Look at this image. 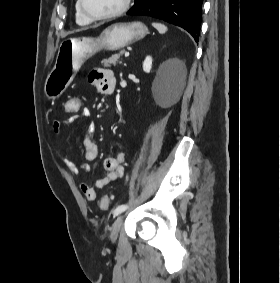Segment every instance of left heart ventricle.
Instances as JSON below:
<instances>
[{"label": "left heart ventricle", "instance_id": "left-heart-ventricle-1", "mask_svg": "<svg viewBox=\"0 0 280 283\" xmlns=\"http://www.w3.org/2000/svg\"><path fill=\"white\" fill-rule=\"evenodd\" d=\"M86 9L94 15H103L119 9L124 0H84Z\"/></svg>", "mask_w": 280, "mask_h": 283}]
</instances>
